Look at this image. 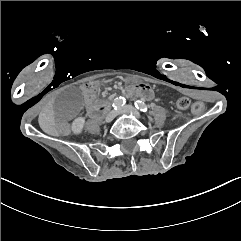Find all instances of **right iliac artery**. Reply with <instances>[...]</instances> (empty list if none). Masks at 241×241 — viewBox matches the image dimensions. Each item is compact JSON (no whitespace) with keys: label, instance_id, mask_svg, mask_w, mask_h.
<instances>
[{"label":"right iliac artery","instance_id":"obj_1","mask_svg":"<svg viewBox=\"0 0 241 241\" xmlns=\"http://www.w3.org/2000/svg\"><path fill=\"white\" fill-rule=\"evenodd\" d=\"M126 104V99L124 97H117L113 102V108L115 110L121 109Z\"/></svg>","mask_w":241,"mask_h":241}]
</instances>
